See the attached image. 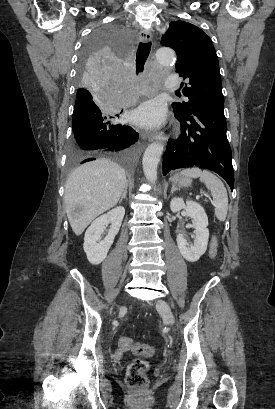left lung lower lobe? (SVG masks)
Masks as SVG:
<instances>
[{
	"mask_svg": "<svg viewBox=\"0 0 275 409\" xmlns=\"http://www.w3.org/2000/svg\"><path fill=\"white\" fill-rule=\"evenodd\" d=\"M175 117L181 124L178 139H169L163 157V174L170 170L197 166L223 177L234 187L231 148L226 137L224 112L199 109L190 116Z\"/></svg>",
	"mask_w": 275,
	"mask_h": 409,
	"instance_id": "obj_1",
	"label": "left lung lower lobe"
}]
</instances>
